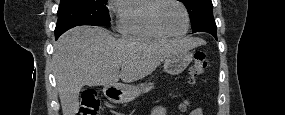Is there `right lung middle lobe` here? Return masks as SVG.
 Here are the masks:
<instances>
[{
    "label": "right lung middle lobe",
    "mask_w": 285,
    "mask_h": 115,
    "mask_svg": "<svg viewBox=\"0 0 285 115\" xmlns=\"http://www.w3.org/2000/svg\"><path fill=\"white\" fill-rule=\"evenodd\" d=\"M107 0H61L55 34L79 25L109 26Z\"/></svg>",
    "instance_id": "obj_1"
}]
</instances>
